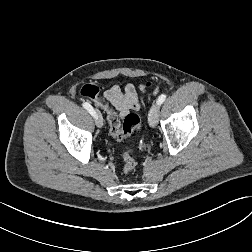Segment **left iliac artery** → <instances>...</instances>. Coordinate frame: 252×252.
<instances>
[{"mask_svg":"<svg viewBox=\"0 0 252 252\" xmlns=\"http://www.w3.org/2000/svg\"><path fill=\"white\" fill-rule=\"evenodd\" d=\"M166 99V95L165 94H161L159 97H158V100H157V103L159 105H161Z\"/></svg>","mask_w":252,"mask_h":252,"instance_id":"obj_1","label":"left iliac artery"}]
</instances>
